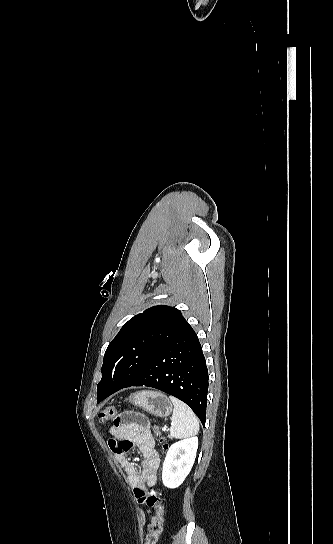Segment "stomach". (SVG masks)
<instances>
[{"mask_svg": "<svg viewBox=\"0 0 333 544\" xmlns=\"http://www.w3.org/2000/svg\"><path fill=\"white\" fill-rule=\"evenodd\" d=\"M130 401L135 406L159 417H167L172 412L170 399L161 392L147 390L136 392L130 397Z\"/></svg>", "mask_w": 333, "mask_h": 544, "instance_id": "1", "label": "stomach"}]
</instances>
